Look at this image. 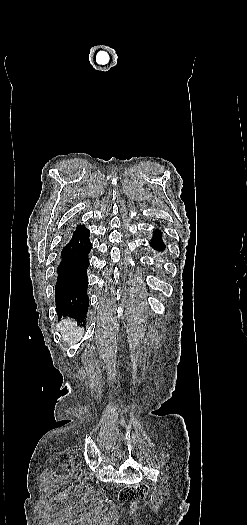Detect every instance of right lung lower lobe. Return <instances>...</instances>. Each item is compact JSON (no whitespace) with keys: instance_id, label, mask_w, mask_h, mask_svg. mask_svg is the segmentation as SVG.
<instances>
[{"instance_id":"right-lung-lower-lobe-1","label":"right lung lower lobe","mask_w":247,"mask_h":525,"mask_svg":"<svg viewBox=\"0 0 247 525\" xmlns=\"http://www.w3.org/2000/svg\"><path fill=\"white\" fill-rule=\"evenodd\" d=\"M90 231L82 225L76 228L61 252L55 287L56 310L59 317L70 316L84 322L89 305L87 295L88 254L92 248Z\"/></svg>"}]
</instances>
